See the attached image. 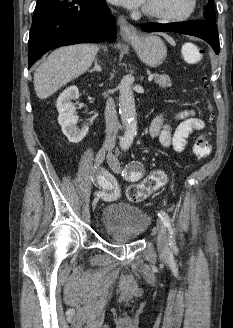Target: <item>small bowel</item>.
Here are the masks:
<instances>
[{"instance_id": "1", "label": "small bowel", "mask_w": 233, "mask_h": 328, "mask_svg": "<svg viewBox=\"0 0 233 328\" xmlns=\"http://www.w3.org/2000/svg\"><path fill=\"white\" fill-rule=\"evenodd\" d=\"M173 121L177 123L176 126L168 121L166 113H161L152 121L149 133L152 137L158 138L164 147L172 148L176 152L185 149L187 140L194 131L205 128V122L198 118L193 110L177 113Z\"/></svg>"}]
</instances>
